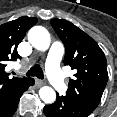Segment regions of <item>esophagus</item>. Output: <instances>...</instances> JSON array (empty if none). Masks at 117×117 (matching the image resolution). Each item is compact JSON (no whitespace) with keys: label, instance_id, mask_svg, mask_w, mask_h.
<instances>
[{"label":"esophagus","instance_id":"1","mask_svg":"<svg viewBox=\"0 0 117 117\" xmlns=\"http://www.w3.org/2000/svg\"><path fill=\"white\" fill-rule=\"evenodd\" d=\"M36 85H37L38 87H41V86L44 85V82L41 81V80H36Z\"/></svg>","mask_w":117,"mask_h":117}]
</instances>
